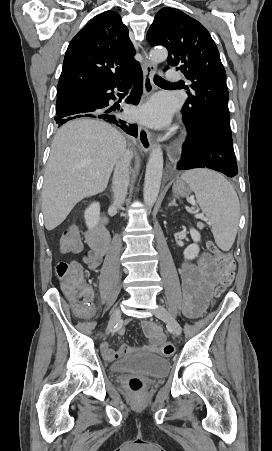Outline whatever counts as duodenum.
I'll use <instances>...</instances> for the list:
<instances>
[{
  "label": "duodenum",
  "mask_w": 272,
  "mask_h": 451,
  "mask_svg": "<svg viewBox=\"0 0 272 451\" xmlns=\"http://www.w3.org/2000/svg\"><path fill=\"white\" fill-rule=\"evenodd\" d=\"M86 241L91 249L99 255H104L110 246V233L106 228L105 219L91 226L86 232Z\"/></svg>",
  "instance_id": "obj_1"
}]
</instances>
